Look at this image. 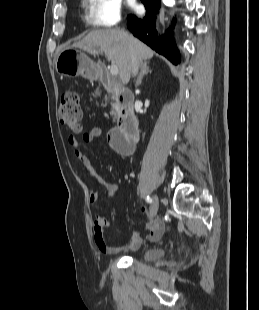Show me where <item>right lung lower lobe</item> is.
<instances>
[{
    "mask_svg": "<svg viewBox=\"0 0 259 310\" xmlns=\"http://www.w3.org/2000/svg\"><path fill=\"white\" fill-rule=\"evenodd\" d=\"M146 8V15L142 18H137L134 15H128L127 27L140 40L145 42L153 50L165 56L172 63L178 64L180 62V54L175 46L172 38V28L158 39L157 31L154 27L156 14L160 8L161 0H141Z\"/></svg>",
    "mask_w": 259,
    "mask_h": 310,
    "instance_id": "obj_1",
    "label": "right lung lower lobe"
}]
</instances>
